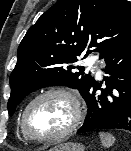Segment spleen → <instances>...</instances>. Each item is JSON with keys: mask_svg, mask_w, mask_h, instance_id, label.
Segmentation results:
<instances>
[{"mask_svg": "<svg viewBox=\"0 0 131 151\" xmlns=\"http://www.w3.org/2000/svg\"><path fill=\"white\" fill-rule=\"evenodd\" d=\"M99 136H100L102 145L106 148H109L115 142V137L110 133L99 132Z\"/></svg>", "mask_w": 131, "mask_h": 151, "instance_id": "1", "label": "spleen"}]
</instances>
